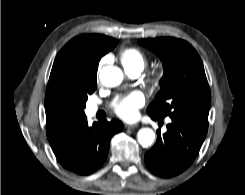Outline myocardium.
Here are the masks:
<instances>
[{
	"label": "myocardium",
	"mask_w": 245,
	"mask_h": 195,
	"mask_svg": "<svg viewBox=\"0 0 245 195\" xmlns=\"http://www.w3.org/2000/svg\"><path fill=\"white\" fill-rule=\"evenodd\" d=\"M165 75L166 71L164 68L155 70L151 75V83L155 86H159L163 82Z\"/></svg>",
	"instance_id": "1"
}]
</instances>
